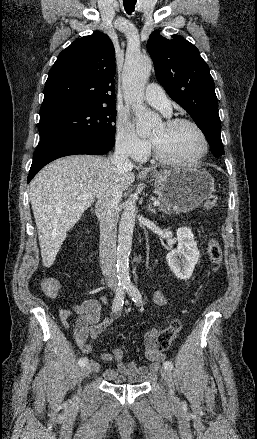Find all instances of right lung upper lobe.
<instances>
[{
  "instance_id": "right-lung-upper-lobe-1",
  "label": "right lung upper lobe",
  "mask_w": 257,
  "mask_h": 439,
  "mask_svg": "<svg viewBox=\"0 0 257 439\" xmlns=\"http://www.w3.org/2000/svg\"><path fill=\"white\" fill-rule=\"evenodd\" d=\"M115 50L104 33L75 40L50 69L40 118L93 106H115Z\"/></svg>"
}]
</instances>
